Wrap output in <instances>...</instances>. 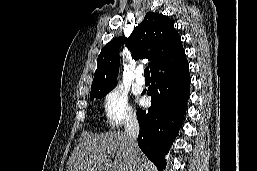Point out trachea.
Returning <instances> with one entry per match:
<instances>
[{"label": "trachea", "instance_id": "3493384b", "mask_svg": "<svg viewBox=\"0 0 257 171\" xmlns=\"http://www.w3.org/2000/svg\"><path fill=\"white\" fill-rule=\"evenodd\" d=\"M144 75H145V77H150V71H149L148 67L145 68Z\"/></svg>", "mask_w": 257, "mask_h": 171}]
</instances>
